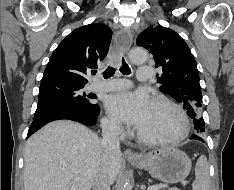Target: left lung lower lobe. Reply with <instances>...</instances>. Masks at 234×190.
Here are the masks:
<instances>
[{"instance_id":"left-lung-lower-lobe-1","label":"left lung lower lobe","mask_w":234,"mask_h":190,"mask_svg":"<svg viewBox=\"0 0 234 190\" xmlns=\"http://www.w3.org/2000/svg\"><path fill=\"white\" fill-rule=\"evenodd\" d=\"M190 138L200 140V141L204 142V140L202 138H200L199 136H197V135H192Z\"/></svg>"}]
</instances>
